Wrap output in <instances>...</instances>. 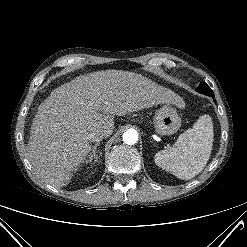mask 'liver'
I'll use <instances>...</instances> for the list:
<instances>
[{
	"instance_id": "obj_1",
	"label": "liver",
	"mask_w": 247,
	"mask_h": 247,
	"mask_svg": "<svg viewBox=\"0 0 247 247\" xmlns=\"http://www.w3.org/2000/svg\"><path fill=\"white\" fill-rule=\"evenodd\" d=\"M182 98L146 77L105 70L81 75L53 90L38 107L31 126L28 157L45 183L67 185L92 150L88 134L114 130V116Z\"/></svg>"
}]
</instances>
